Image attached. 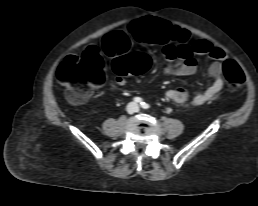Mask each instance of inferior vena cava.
I'll return each mask as SVG.
<instances>
[{
  "label": "inferior vena cava",
  "instance_id": "obj_1",
  "mask_svg": "<svg viewBox=\"0 0 258 206\" xmlns=\"http://www.w3.org/2000/svg\"><path fill=\"white\" fill-rule=\"evenodd\" d=\"M136 107V110H138V106L136 104H134ZM136 110H132L131 112H135Z\"/></svg>",
  "mask_w": 258,
  "mask_h": 206
}]
</instances>
